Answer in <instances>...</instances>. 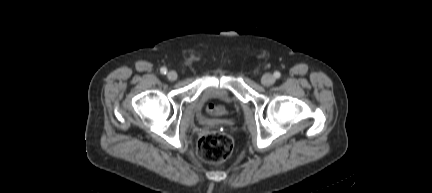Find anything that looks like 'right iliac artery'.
Instances as JSON below:
<instances>
[{
  "label": "right iliac artery",
  "mask_w": 432,
  "mask_h": 193,
  "mask_svg": "<svg viewBox=\"0 0 432 193\" xmlns=\"http://www.w3.org/2000/svg\"><path fill=\"white\" fill-rule=\"evenodd\" d=\"M160 72H161L162 74H166V73H167V69H166L165 67H162V68L160 69Z\"/></svg>",
  "instance_id": "obj_1"
}]
</instances>
